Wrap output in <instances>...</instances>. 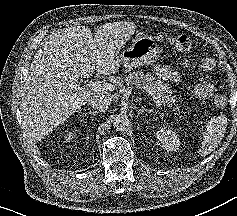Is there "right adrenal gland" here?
I'll return each mask as SVG.
<instances>
[{"instance_id": "1", "label": "right adrenal gland", "mask_w": 237, "mask_h": 216, "mask_svg": "<svg viewBox=\"0 0 237 216\" xmlns=\"http://www.w3.org/2000/svg\"><path fill=\"white\" fill-rule=\"evenodd\" d=\"M96 114H98L97 111H92V112L87 113L86 116H88V115H93V116H95Z\"/></svg>"}]
</instances>
